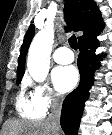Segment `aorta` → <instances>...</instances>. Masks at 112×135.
I'll return each instance as SVG.
<instances>
[{"mask_svg": "<svg viewBox=\"0 0 112 135\" xmlns=\"http://www.w3.org/2000/svg\"><path fill=\"white\" fill-rule=\"evenodd\" d=\"M53 41V28L48 27L39 31L30 45L27 69L36 82L42 83L47 78Z\"/></svg>", "mask_w": 112, "mask_h": 135, "instance_id": "obj_1", "label": "aorta"}]
</instances>
